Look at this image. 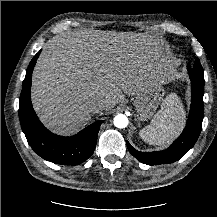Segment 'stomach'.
Returning <instances> with one entry per match:
<instances>
[{"instance_id":"obj_1","label":"stomach","mask_w":217,"mask_h":217,"mask_svg":"<svg viewBox=\"0 0 217 217\" xmlns=\"http://www.w3.org/2000/svg\"><path fill=\"white\" fill-rule=\"evenodd\" d=\"M164 89L160 85L146 88L136 95L133 102L137 112V119L147 121L156 111L158 105L163 100Z\"/></svg>"}]
</instances>
